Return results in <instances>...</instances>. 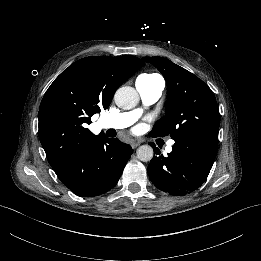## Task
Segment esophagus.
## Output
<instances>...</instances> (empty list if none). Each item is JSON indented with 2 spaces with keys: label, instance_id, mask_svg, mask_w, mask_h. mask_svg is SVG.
<instances>
[{
  "label": "esophagus",
  "instance_id": "obj_1",
  "mask_svg": "<svg viewBox=\"0 0 261 261\" xmlns=\"http://www.w3.org/2000/svg\"><path fill=\"white\" fill-rule=\"evenodd\" d=\"M143 142V140H141V141H133V142H131V146H132V148H137L141 143Z\"/></svg>",
  "mask_w": 261,
  "mask_h": 261
}]
</instances>
